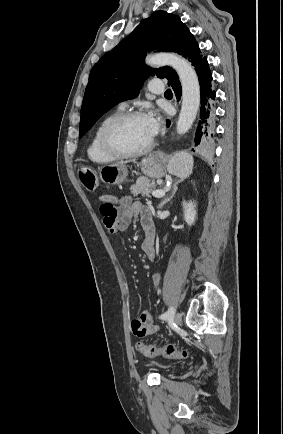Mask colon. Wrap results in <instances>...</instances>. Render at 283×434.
Here are the masks:
<instances>
[{"label": "colon", "mask_w": 283, "mask_h": 434, "mask_svg": "<svg viewBox=\"0 0 283 434\" xmlns=\"http://www.w3.org/2000/svg\"><path fill=\"white\" fill-rule=\"evenodd\" d=\"M79 178L86 189L94 190L97 187V174L92 168L81 167L79 169ZM136 349L144 356L149 358L161 355L172 359H185L189 356V353L187 351L177 350L173 345L155 347L152 345H146L142 342H138L136 344Z\"/></svg>", "instance_id": "1"}]
</instances>
